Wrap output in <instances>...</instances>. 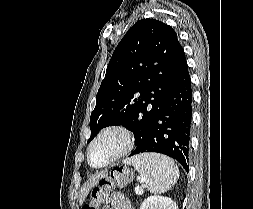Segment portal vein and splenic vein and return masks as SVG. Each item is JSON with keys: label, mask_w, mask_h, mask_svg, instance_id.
I'll return each instance as SVG.
<instances>
[{"label": "portal vein and splenic vein", "mask_w": 253, "mask_h": 209, "mask_svg": "<svg viewBox=\"0 0 253 209\" xmlns=\"http://www.w3.org/2000/svg\"><path fill=\"white\" fill-rule=\"evenodd\" d=\"M135 193H136L137 195H141V194H143V189H142L141 187H136V188H135Z\"/></svg>", "instance_id": "obj_1"}]
</instances>
